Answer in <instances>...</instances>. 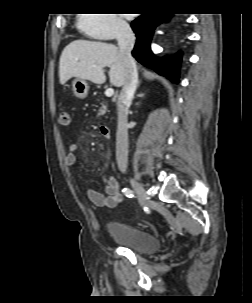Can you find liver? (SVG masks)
<instances>
[{
	"label": "liver",
	"instance_id": "6515ba94",
	"mask_svg": "<svg viewBox=\"0 0 252 303\" xmlns=\"http://www.w3.org/2000/svg\"><path fill=\"white\" fill-rule=\"evenodd\" d=\"M106 66L110 67V83L116 87L123 86L126 69L118 47L98 41H72L64 48L60 57V84L64 85L72 77L103 84L106 81Z\"/></svg>",
	"mask_w": 252,
	"mask_h": 303
}]
</instances>
